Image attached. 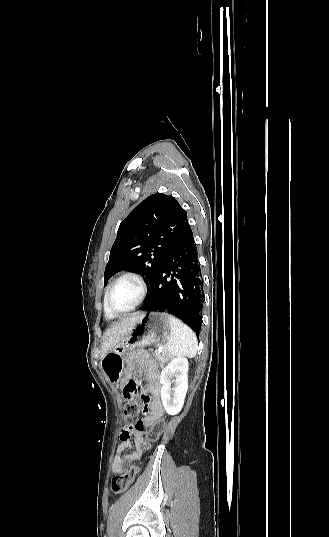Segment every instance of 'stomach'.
<instances>
[{
  "instance_id": "0dacf381",
  "label": "stomach",
  "mask_w": 329,
  "mask_h": 537,
  "mask_svg": "<svg viewBox=\"0 0 329 537\" xmlns=\"http://www.w3.org/2000/svg\"><path fill=\"white\" fill-rule=\"evenodd\" d=\"M170 315L162 312H144L125 337L101 359L106 377L116 382L121 377V367L127 350L147 345H162L170 336Z\"/></svg>"
}]
</instances>
